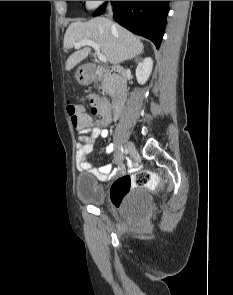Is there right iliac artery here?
<instances>
[{
	"label": "right iliac artery",
	"instance_id": "1",
	"mask_svg": "<svg viewBox=\"0 0 233 295\" xmlns=\"http://www.w3.org/2000/svg\"><path fill=\"white\" fill-rule=\"evenodd\" d=\"M124 153L126 154L128 153V148H125Z\"/></svg>",
	"mask_w": 233,
	"mask_h": 295
}]
</instances>
